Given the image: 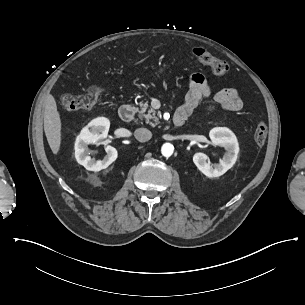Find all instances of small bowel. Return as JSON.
<instances>
[{"label": "small bowel", "instance_id": "obj_1", "mask_svg": "<svg viewBox=\"0 0 305 305\" xmlns=\"http://www.w3.org/2000/svg\"><path fill=\"white\" fill-rule=\"evenodd\" d=\"M212 97L214 104L208 105L212 109L215 105L229 112H236L242 108V100L239 93L232 88L214 90L204 75L194 73L189 77V91L187 92L184 104L177 110L186 117L199 107L202 100Z\"/></svg>", "mask_w": 305, "mask_h": 305}]
</instances>
